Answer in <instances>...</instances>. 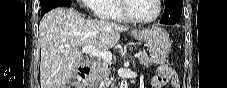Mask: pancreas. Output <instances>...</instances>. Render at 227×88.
Returning <instances> with one entry per match:
<instances>
[{"label":"pancreas","instance_id":"pancreas-1","mask_svg":"<svg viewBox=\"0 0 227 88\" xmlns=\"http://www.w3.org/2000/svg\"><path fill=\"white\" fill-rule=\"evenodd\" d=\"M139 61L141 65H158L162 62L159 58L148 57L146 51H140ZM110 68L109 62L103 61L97 67H95L87 79V84L94 86L99 84L102 80H107L109 76Z\"/></svg>","mask_w":227,"mask_h":88}]
</instances>
